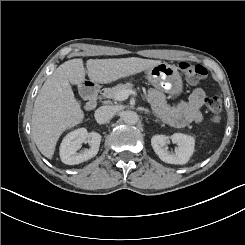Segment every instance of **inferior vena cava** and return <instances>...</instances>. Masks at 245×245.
<instances>
[{
    "mask_svg": "<svg viewBox=\"0 0 245 245\" xmlns=\"http://www.w3.org/2000/svg\"><path fill=\"white\" fill-rule=\"evenodd\" d=\"M115 114L111 106H101L95 111V119L99 124L108 122Z\"/></svg>",
    "mask_w": 245,
    "mask_h": 245,
    "instance_id": "602c4592",
    "label": "inferior vena cava"
}]
</instances>
